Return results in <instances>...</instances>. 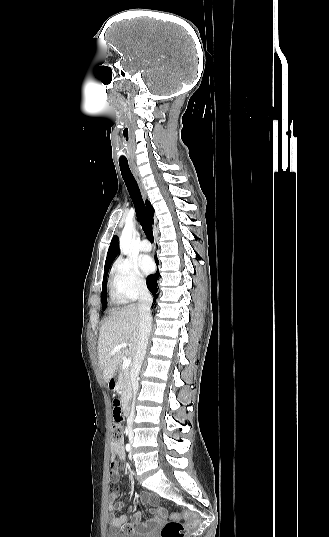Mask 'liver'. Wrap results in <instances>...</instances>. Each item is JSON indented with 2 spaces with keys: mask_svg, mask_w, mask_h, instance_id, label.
<instances>
[{
  "mask_svg": "<svg viewBox=\"0 0 329 537\" xmlns=\"http://www.w3.org/2000/svg\"><path fill=\"white\" fill-rule=\"evenodd\" d=\"M139 321L138 307L130 306L112 311L102 324L97 350L106 383L115 375L124 357L134 359L138 345ZM121 343H128V348H122L112 354L114 347Z\"/></svg>",
  "mask_w": 329,
  "mask_h": 537,
  "instance_id": "liver-1",
  "label": "liver"
}]
</instances>
